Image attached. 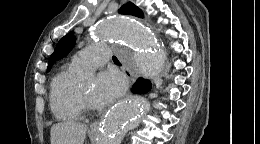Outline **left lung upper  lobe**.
Wrapping results in <instances>:
<instances>
[{"mask_svg": "<svg viewBox=\"0 0 260 144\" xmlns=\"http://www.w3.org/2000/svg\"><path fill=\"white\" fill-rule=\"evenodd\" d=\"M119 13L124 15L143 17V12L131 2H128L127 4L121 6V8L119 9ZM74 44L75 39L72 32L61 38L54 50V53L49 58L47 71H49L55 61L65 57L70 52Z\"/></svg>", "mask_w": 260, "mask_h": 144, "instance_id": "left-lung-upper-lobe-1", "label": "left lung upper lobe"}]
</instances>
